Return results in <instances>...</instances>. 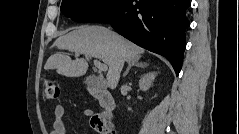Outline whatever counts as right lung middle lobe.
Segmentation results:
<instances>
[{
  "mask_svg": "<svg viewBox=\"0 0 239 134\" xmlns=\"http://www.w3.org/2000/svg\"><path fill=\"white\" fill-rule=\"evenodd\" d=\"M120 0H63L61 12L72 20L87 23L112 9Z\"/></svg>",
  "mask_w": 239,
  "mask_h": 134,
  "instance_id": "1",
  "label": "right lung middle lobe"
}]
</instances>
